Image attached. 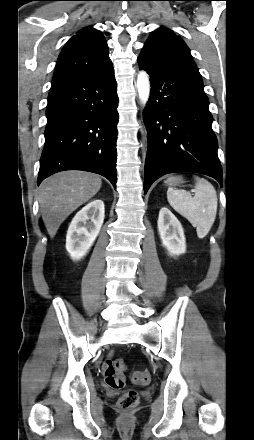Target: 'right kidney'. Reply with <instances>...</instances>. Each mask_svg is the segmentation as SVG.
Listing matches in <instances>:
<instances>
[{"label":"right kidney","mask_w":254,"mask_h":440,"mask_svg":"<svg viewBox=\"0 0 254 440\" xmlns=\"http://www.w3.org/2000/svg\"><path fill=\"white\" fill-rule=\"evenodd\" d=\"M104 202L96 199L83 207L71 221L66 250L73 260L84 257L100 233L104 221Z\"/></svg>","instance_id":"right-kidney-1"}]
</instances>
